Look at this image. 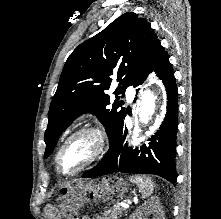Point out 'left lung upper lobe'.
Here are the masks:
<instances>
[{
	"mask_svg": "<svg viewBox=\"0 0 221 219\" xmlns=\"http://www.w3.org/2000/svg\"><path fill=\"white\" fill-rule=\"evenodd\" d=\"M159 46L149 23L127 12L76 47L64 65L50 104L45 157L53 152L61 133L84 112L97 116L110 140L126 114L118 95H124L129 85L141 84ZM112 77L119 82L114 102L106 94Z\"/></svg>",
	"mask_w": 221,
	"mask_h": 219,
	"instance_id": "5c2ea615",
	"label": "left lung upper lobe"
}]
</instances>
